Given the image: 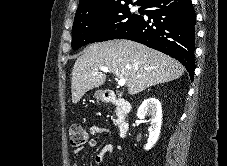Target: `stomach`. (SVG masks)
I'll return each instance as SVG.
<instances>
[{
	"instance_id": "1",
	"label": "stomach",
	"mask_w": 227,
	"mask_h": 166,
	"mask_svg": "<svg viewBox=\"0 0 227 166\" xmlns=\"http://www.w3.org/2000/svg\"><path fill=\"white\" fill-rule=\"evenodd\" d=\"M94 97L99 100V101H103L104 100V92L101 90H98L95 92Z\"/></svg>"
}]
</instances>
